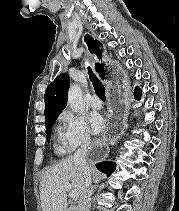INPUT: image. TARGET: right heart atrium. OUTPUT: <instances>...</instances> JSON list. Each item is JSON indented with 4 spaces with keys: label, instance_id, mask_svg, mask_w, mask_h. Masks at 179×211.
Instances as JSON below:
<instances>
[{
    "label": "right heart atrium",
    "instance_id": "obj_1",
    "mask_svg": "<svg viewBox=\"0 0 179 211\" xmlns=\"http://www.w3.org/2000/svg\"><path fill=\"white\" fill-rule=\"evenodd\" d=\"M57 132L63 148L68 152L91 142V133L84 118L69 110L60 114Z\"/></svg>",
    "mask_w": 179,
    "mask_h": 211
}]
</instances>
